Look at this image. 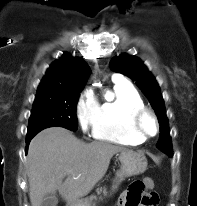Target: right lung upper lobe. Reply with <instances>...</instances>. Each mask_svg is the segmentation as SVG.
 Listing matches in <instances>:
<instances>
[{
	"instance_id": "right-lung-upper-lobe-1",
	"label": "right lung upper lobe",
	"mask_w": 197,
	"mask_h": 206,
	"mask_svg": "<svg viewBox=\"0 0 197 206\" xmlns=\"http://www.w3.org/2000/svg\"><path fill=\"white\" fill-rule=\"evenodd\" d=\"M89 71L83 59L65 53L47 70L37 91H81Z\"/></svg>"
}]
</instances>
